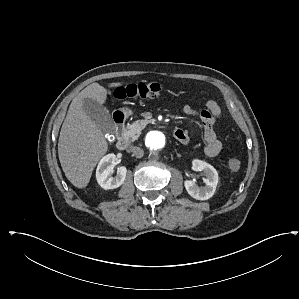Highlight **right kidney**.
Segmentation results:
<instances>
[{"label":"right kidney","instance_id":"obj_1","mask_svg":"<svg viewBox=\"0 0 299 299\" xmlns=\"http://www.w3.org/2000/svg\"><path fill=\"white\" fill-rule=\"evenodd\" d=\"M116 155L111 153L104 156L98 163L96 179L98 184L105 190L120 187L126 178V167H120L115 177L112 176Z\"/></svg>","mask_w":299,"mask_h":299}]
</instances>
